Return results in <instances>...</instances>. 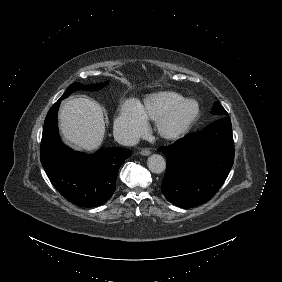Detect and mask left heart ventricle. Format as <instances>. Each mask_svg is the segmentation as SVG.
Segmentation results:
<instances>
[{
	"mask_svg": "<svg viewBox=\"0 0 282 282\" xmlns=\"http://www.w3.org/2000/svg\"><path fill=\"white\" fill-rule=\"evenodd\" d=\"M195 113H196V106H195V104L194 103H189V104H187L184 107L181 115L187 116V115H193Z\"/></svg>",
	"mask_w": 282,
	"mask_h": 282,
	"instance_id": "left-heart-ventricle-1",
	"label": "left heart ventricle"
}]
</instances>
